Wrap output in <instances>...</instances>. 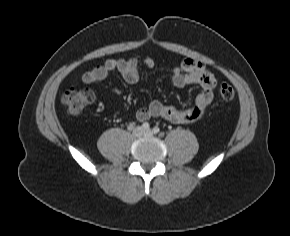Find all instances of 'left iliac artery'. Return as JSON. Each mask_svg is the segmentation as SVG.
Returning <instances> with one entry per match:
<instances>
[{"label":"left iliac artery","mask_w":290,"mask_h":236,"mask_svg":"<svg viewBox=\"0 0 290 236\" xmlns=\"http://www.w3.org/2000/svg\"><path fill=\"white\" fill-rule=\"evenodd\" d=\"M159 131H160L159 127L155 126V127L153 128V132H154L155 134L159 133Z\"/></svg>","instance_id":"left-iliac-artery-1"}]
</instances>
